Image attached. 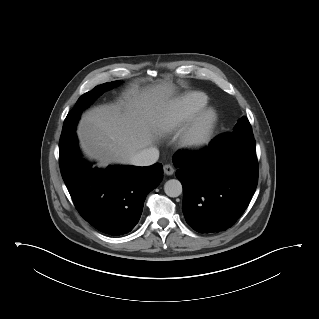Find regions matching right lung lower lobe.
<instances>
[{
  "label": "right lung lower lobe",
  "instance_id": "98d812e1",
  "mask_svg": "<svg viewBox=\"0 0 319 319\" xmlns=\"http://www.w3.org/2000/svg\"><path fill=\"white\" fill-rule=\"evenodd\" d=\"M62 178L81 216L99 231L118 236L138 223L146 196L163 176L162 164L92 168L81 158L76 134L59 146Z\"/></svg>",
  "mask_w": 319,
  "mask_h": 319
}]
</instances>
